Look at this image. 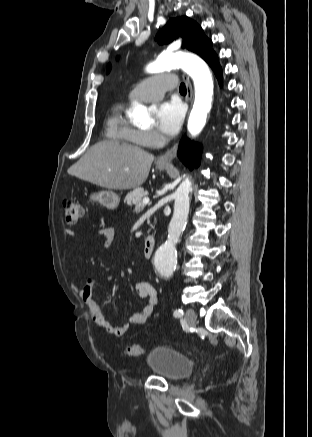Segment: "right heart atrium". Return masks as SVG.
I'll list each match as a JSON object with an SVG mask.
<instances>
[{
	"label": "right heart atrium",
	"instance_id": "d8ad5b80",
	"mask_svg": "<svg viewBox=\"0 0 312 437\" xmlns=\"http://www.w3.org/2000/svg\"><path fill=\"white\" fill-rule=\"evenodd\" d=\"M141 138L146 145H155L159 142L160 136L152 130L142 131Z\"/></svg>",
	"mask_w": 312,
	"mask_h": 437
}]
</instances>
